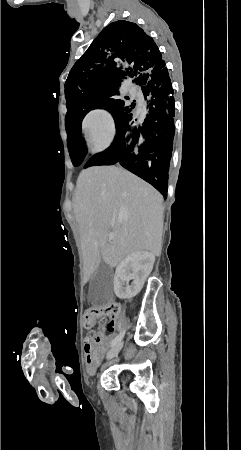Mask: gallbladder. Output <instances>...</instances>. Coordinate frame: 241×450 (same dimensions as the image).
I'll return each instance as SVG.
<instances>
[{"label":"gallbladder","instance_id":"1","mask_svg":"<svg viewBox=\"0 0 241 450\" xmlns=\"http://www.w3.org/2000/svg\"><path fill=\"white\" fill-rule=\"evenodd\" d=\"M107 268V264L102 260L93 280L90 282L89 298L90 307L93 310H101L104 305H112L113 303L111 294L113 293L114 276Z\"/></svg>","mask_w":241,"mask_h":450}]
</instances>
